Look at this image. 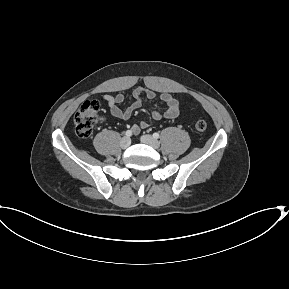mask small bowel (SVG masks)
I'll use <instances>...</instances> for the list:
<instances>
[{
	"mask_svg": "<svg viewBox=\"0 0 289 289\" xmlns=\"http://www.w3.org/2000/svg\"><path fill=\"white\" fill-rule=\"evenodd\" d=\"M134 101L129 104L126 108H121L125 102V97L123 94L119 93L115 96L105 94L103 95V100L107 103L109 111L112 116L120 119H128L132 113L139 109L143 104V98L152 100L156 97V93L150 89H136L133 92ZM161 101L166 105V110L161 113L160 111L154 109L152 111V117L155 120H160L161 118L173 119L179 114V103L170 93H162L160 95ZM149 126L148 122L142 121L138 124L132 126V131L134 134H138L141 129H145Z\"/></svg>",
	"mask_w": 289,
	"mask_h": 289,
	"instance_id": "small-bowel-1",
	"label": "small bowel"
}]
</instances>
